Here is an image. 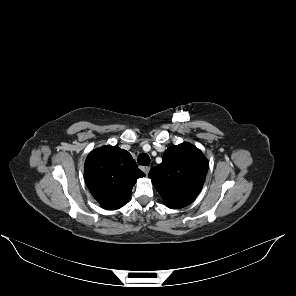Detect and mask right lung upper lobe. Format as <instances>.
<instances>
[{
  "instance_id": "obj_1",
  "label": "right lung upper lobe",
  "mask_w": 296,
  "mask_h": 296,
  "mask_svg": "<svg viewBox=\"0 0 296 296\" xmlns=\"http://www.w3.org/2000/svg\"><path fill=\"white\" fill-rule=\"evenodd\" d=\"M144 176L131 154L117 145L94 149L85 161V183L107 210L124 206L136 180Z\"/></svg>"
}]
</instances>
